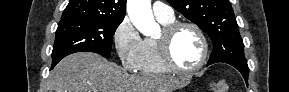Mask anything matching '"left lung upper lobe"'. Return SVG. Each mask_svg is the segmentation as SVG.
<instances>
[{
    "label": "left lung upper lobe",
    "instance_id": "left-lung-upper-lobe-1",
    "mask_svg": "<svg viewBox=\"0 0 289 92\" xmlns=\"http://www.w3.org/2000/svg\"><path fill=\"white\" fill-rule=\"evenodd\" d=\"M209 35L213 51L208 63H247L244 44L229 0H167Z\"/></svg>",
    "mask_w": 289,
    "mask_h": 92
}]
</instances>
